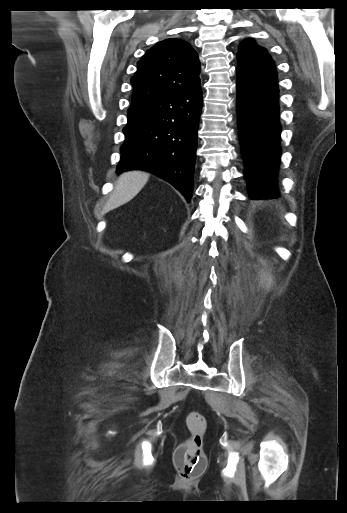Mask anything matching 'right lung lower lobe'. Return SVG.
Returning <instances> with one entry per match:
<instances>
[{"mask_svg": "<svg viewBox=\"0 0 347 513\" xmlns=\"http://www.w3.org/2000/svg\"><path fill=\"white\" fill-rule=\"evenodd\" d=\"M202 109L201 88L132 105L117 172L146 170L165 179L190 201Z\"/></svg>", "mask_w": 347, "mask_h": 513, "instance_id": "98d812e1", "label": "right lung lower lobe"}]
</instances>
